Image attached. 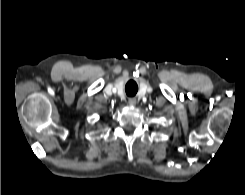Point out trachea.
I'll return each instance as SVG.
<instances>
[{"label": "trachea", "mask_w": 245, "mask_h": 195, "mask_svg": "<svg viewBox=\"0 0 245 195\" xmlns=\"http://www.w3.org/2000/svg\"><path fill=\"white\" fill-rule=\"evenodd\" d=\"M137 91H138V86L136 82L133 80H129L125 86V92L127 96L133 97L136 95Z\"/></svg>", "instance_id": "trachea-1"}]
</instances>
